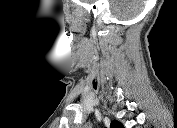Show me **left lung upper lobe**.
I'll return each instance as SVG.
<instances>
[{
  "label": "left lung upper lobe",
  "mask_w": 177,
  "mask_h": 128,
  "mask_svg": "<svg viewBox=\"0 0 177 128\" xmlns=\"http://www.w3.org/2000/svg\"><path fill=\"white\" fill-rule=\"evenodd\" d=\"M111 128H124V126L118 121H113L111 123Z\"/></svg>",
  "instance_id": "left-lung-upper-lobe-1"
}]
</instances>
